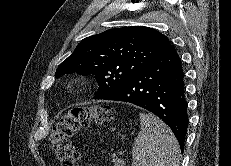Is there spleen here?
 Returning a JSON list of instances; mask_svg holds the SVG:
<instances>
[{"label":"spleen","mask_w":231,"mask_h":166,"mask_svg":"<svg viewBox=\"0 0 231 166\" xmlns=\"http://www.w3.org/2000/svg\"><path fill=\"white\" fill-rule=\"evenodd\" d=\"M141 130L132 150V166H179V143L158 117L140 113Z\"/></svg>","instance_id":"1"}]
</instances>
